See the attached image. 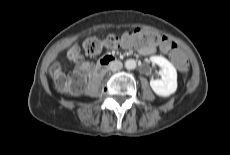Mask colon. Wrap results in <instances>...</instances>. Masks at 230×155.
<instances>
[{
    "instance_id": "obj_1",
    "label": "colon",
    "mask_w": 230,
    "mask_h": 155,
    "mask_svg": "<svg viewBox=\"0 0 230 155\" xmlns=\"http://www.w3.org/2000/svg\"><path fill=\"white\" fill-rule=\"evenodd\" d=\"M134 45L141 47L159 45L176 63L181 80H188V73L186 71L187 62L179 51L177 44L169 40L166 36H161L151 31L137 29L124 33L121 37L111 34L105 39L89 37L85 39L83 43V52L86 56H95L98 55L103 48L116 49L118 47H131ZM67 56L70 60L79 63L76 71L70 77H66L62 66L58 62H55L50 67V76L59 91L76 93L84 88L91 66L88 63H81L82 53L77 46H72L68 50Z\"/></svg>"
}]
</instances>
